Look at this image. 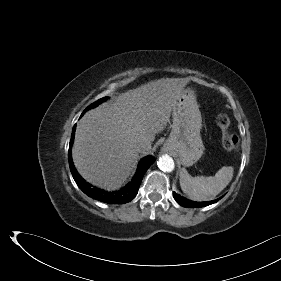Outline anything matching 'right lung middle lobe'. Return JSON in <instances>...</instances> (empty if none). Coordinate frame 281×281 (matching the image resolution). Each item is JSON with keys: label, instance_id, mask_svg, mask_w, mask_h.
<instances>
[{"label": "right lung middle lobe", "instance_id": "obj_1", "mask_svg": "<svg viewBox=\"0 0 281 281\" xmlns=\"http://www.w3.org/2000/svg\"><path fill=\"white\" fill-rule=\"evenodd\" d=\"M107 98H108V97H104V98H101L100 100L94 102L93 104H91L90 106H88V107L84 110V112L87 111V110L90 109V108L95 107V106L98 105L99 103L105 101ZM84 112H83V113H84Z\"/></svg>", "mask_w": 281, "mask_h": 281}]
</instances>
